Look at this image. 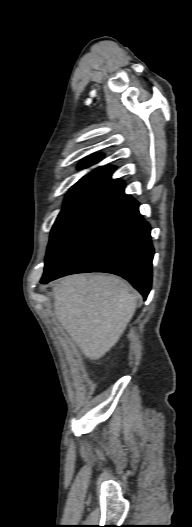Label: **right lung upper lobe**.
<instances>
[{
	"instance_id": "right-lung-upper-lobe-1",
	"label": "right lung upper lobe",
	"mask_w": 192,
	"mask_h": 527,
	"mask_svg": "<svg viewBox=\"0 0 192 527\" xmlns=\"http://www.w3.org/2000/svg\"><path fill=\"white\" fill-rule=\"evenodd\" d=\"M101 159H102L101 155H98V156H95V157H91V158H87V159L83 160L80 163L79 168L90 167L91 165L99 162ZM113 169H114L113 167H106V168L99 167V168H96L95 170H93L88 175H85L84 177H82L77 183H83V182H104V183H107V182L111 181V174L113 172Z\"/></svg>"
}]
</instances>
